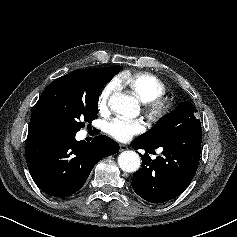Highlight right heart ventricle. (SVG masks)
<instances>
[{
	"mask_svg": "<svg viewBox=\"0 0 237 237\" xmlns=\"http://www.w3.org/2000/svg\"><path fill=\"white\" fill-rule=\"evenodd\" d=\"M118 87L128 88L140 101L146 103L162 96L166 87L157 76L147 72L124 73L114 81Z\"/></svg>",
	"mask_w": 237,
	"mask_h": 237,
	"instance_id": "1",
	"label": "right heart ventricle"
}]
</instances>
